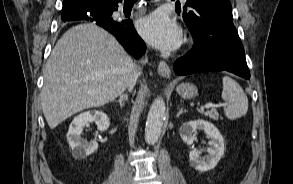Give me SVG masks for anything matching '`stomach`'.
Wrapping results in <instances>:
<instances>
[{"mask_svg": "<svg viewBox=\"0 0 293 184\" xmlns=\"http://www.w3.org/2000/svg\"><path fill=\"white\" fill-rule=\"evenodd\" d=\"M176 91L184 99H192L198 95L197 87L191 83L179 84Z\"/></svg>", "mask_w": 293, "mask_h": 184, "instance_id": "obj_1", "label": "stomach"}]
</instances>
